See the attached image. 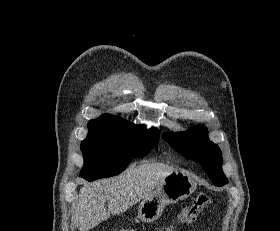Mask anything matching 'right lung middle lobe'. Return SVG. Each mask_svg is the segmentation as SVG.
Segmentation results:
<instances>
[{
    "label": "right lung middle lobe",
    "mask_w": 280,
    "mask_h": 231,
    "mask_svg": "<svg viewBox=\"0 0 280 231\" xmlns=\"http://www.w3.org/2000/svg\"><path fill=\"white\" fill-rule=\"evenodd\" d=\"M89 133L81 143L84 166L81 176L87 181L115 176L126 169L131 158H142L159 142L157 129L113 119L88 123Z\"/></svg>",
    "instance_id": "obj_1"
}]
</instances>
